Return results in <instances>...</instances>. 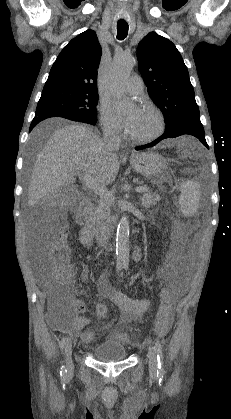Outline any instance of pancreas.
Segmentation results:
<instances>
[{"label": "pancreas", "instance_id": "1", "mask_svg": "<svg viewBox=\"0 0 231 419\" xmlns=\"http://www.w3.org/2000/svg\"><path fill=\"white\" fill-rule=\"evenodd\" d=\"M140 200L143 207L149 208L150 206L155 205L160 200V196L158 194L152 193L151 189L146 187V191L140 197ZM112 205V198H100L97 201L96 205L91 207V216L97 223H100L102 220H105L109 217L110 207Z\"/></svg>", "mask_w": 231, "mask_h": 419}]
</instances>
